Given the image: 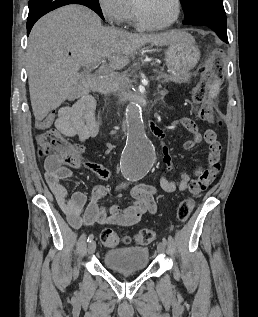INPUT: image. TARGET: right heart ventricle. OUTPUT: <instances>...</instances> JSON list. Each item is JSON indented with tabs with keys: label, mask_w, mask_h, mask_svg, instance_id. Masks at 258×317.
I'll return each instance as SVG.
<instances>
[{
	"label": "right heart ventricle",
	"mask_w": 258,
	"mask_h": 317,
	"mask_svg": "<svg viewBox=\"0 0 258 317\" xmlns=\"http://www.w3.org/2000/svg\"><path fill=\"white\" fill-rule=\"evenodd\" d=\"M128 3H129V7H130V13H129V16H128V19L133 22L134 20V7H135V4L137 1L135 0H127Z\"/></svg>",
	"instance_id": "e07e8e85"
}]
</instances>
